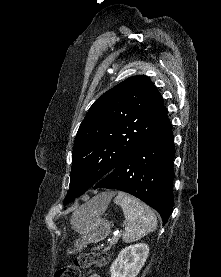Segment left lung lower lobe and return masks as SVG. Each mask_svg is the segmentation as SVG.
I'll use <instances>...</instances> for the list:
<instances>
[{"instance_id": "obj_1", "label": "left lung lower lobe", "mask_w": 221, "mask_h": 277, "mask_svg": "<svg viewBox=\"0 0 221 277\" xmlns=\"http://www.w3.org/2000/svg\"><path fill=\"white\" fill-rule=\"evenodd\" d=\"M174 156L173 133L167 119L92 187L117 189L141 199L160 213L164 225L173 209Z\"/></svg>"}]
</instances>
